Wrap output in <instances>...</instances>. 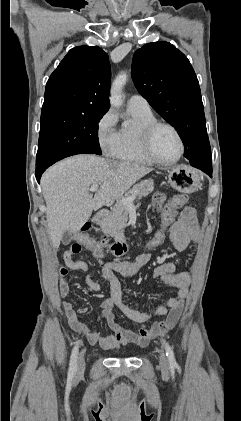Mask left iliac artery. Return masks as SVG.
Returning <instances> with one entry per match:
<instances>
[{
    "label": "left iliac artery",
    "instance_id": "44dca946",
    "mask_svg": "<svg viewBox=\"0 0 241 421\" xmlns=\"http://www.w3.org/2000/svg\"><path fill=\"white\" fill-rule=\"evenodd\" d=\"M164 344H165L166 356L168 358L169 366L171 369H174L175 367H177L174 352L167 342L164 341Z\"/></svg>",
    "mask_w": 241,
    "mask_h": 421
}]
</instances>
